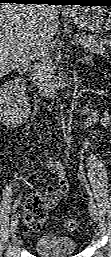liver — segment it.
<instances>
[{"label": "liver", "mask_w": 111, "mask_h": 257, "mask_svg": "<svg viewBox=\"0 0 111 257\" xmlns=\"http://www.w3.org/2000/svg\"><path fill=\"white\" fill-rule=\"evenodd\" d=\"M57 10L47 5H0V74L19 68L37 42L56 31Z\"/></svg>", "instance_id": "6515ba94"}]
</instances>
